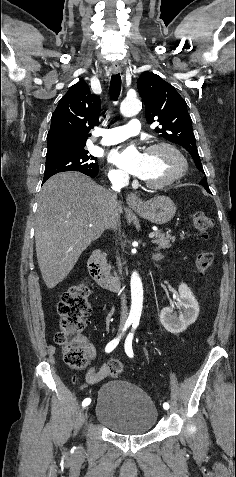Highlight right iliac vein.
Instances as JSON below:
<instances>
[{
  "instance_id": "63e3f726",
  "label": "right iliac vein",
  "mask_w": 236,
  "mask_h": 477,
  "mask_svg": "<svg viewBox=\"0 0 236 477\" xmlns=\"http://www.w3.org/2000/svg\"><path fill=\"white\" fill-rule=\"evenodd\" d=\"M90 408H91V407L89 406V407H85V408L83 409V414H82V415H83V418H82L83 421L85 420L86 417H91V416H92V413H91V409H90Z\"/></svg>"
}]
</instances>
